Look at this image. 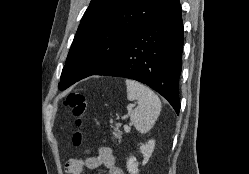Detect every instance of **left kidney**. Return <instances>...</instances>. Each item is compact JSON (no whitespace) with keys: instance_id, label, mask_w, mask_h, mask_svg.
Masks as SVG:
<instances>
[{"instance_id":"left-kidney-1","label":"left kidney","mask_w":249,"mask_h":174,"mask_svg":"<svg viewBox=\"0 0 249 174\" xmlns=\"http://www.w3.org/2000/svg\"><path fill=\"white\" fill-rule=\"evenodd\" d=\"M155 141L153 139L149 140L146 144L141 145L140 152L143 154V162L142 164L145 165L149 161V158L152 155L154 150ZM127 170L130 174H139L138 169V162L134 156L129 157L126 163Z\"/></svg>"}]
</instances>
